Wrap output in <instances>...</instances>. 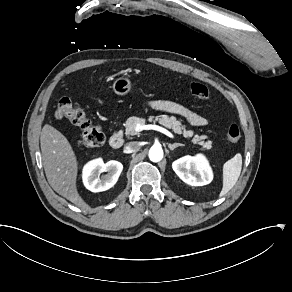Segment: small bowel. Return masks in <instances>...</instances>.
Here are the masks:
<instances>
[{
	"instance_id": "c3829d8e",
	"label": "small bowel",
	"mask_w": 292,
	"mask_h": 292,
	"mask_svg": "<svg viewBox=\"0 0 292 292\" xmlns=\"http://www.w3.org/2000/svg\"><path fill=\"white\" fill-rule=\"evenodd\" d=\"M146 104L156 111L180 116L193 126H204L207 124V119L204 116L174 101L155 99L147 100Z\"/></svg>"
}]
</instances>
